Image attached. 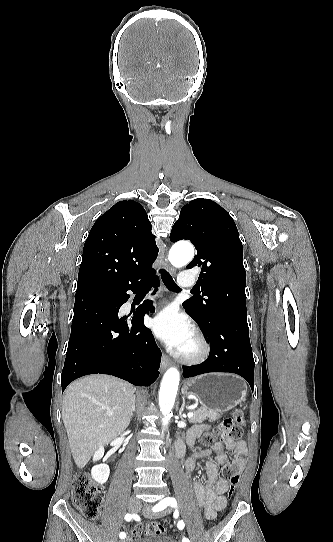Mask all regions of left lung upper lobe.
<instances>
[{"label":"left lung upper lobe","mask_w":333,"mask_h":542,"mask_svg":"<svg viewBox=\"0 0 333 542\" xmlns=\"http://www.w3.org/2000/svg\"><path fill=\"white\" fill-rule=\"evenodd\" d=\"M181 239L191 241L197 250L187 268L201 267L196 286L206 297L186 300V312L204 331L223 314L247 316L243 247L229 213L210 199L190 201L182 207L170 234L172 242Z\"/></svg>","instance_id":"left-lung-upper-lobe-1"}]
</instances>
